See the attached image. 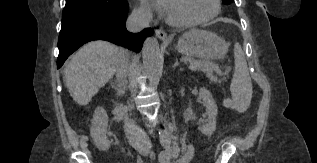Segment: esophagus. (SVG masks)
Masks as SVG:
<instances>
[{
    "label": "esophagus",
    "mask_w": 317,
    "mask_h": 163,
    "mask_svg": "<svg viewBox=\"0 0 317 163\" xmlns=\"http://www.w3.org/2000/svg\"><path fill=\"white\" fill-rule=\"evenodd\" d=\"M155 34L157 38H159L162 41H168V35L164 30L161 29H156Z\"/></svg>",
    "instance_id": "34e87169"
}]
</instances>
